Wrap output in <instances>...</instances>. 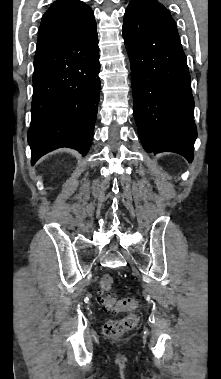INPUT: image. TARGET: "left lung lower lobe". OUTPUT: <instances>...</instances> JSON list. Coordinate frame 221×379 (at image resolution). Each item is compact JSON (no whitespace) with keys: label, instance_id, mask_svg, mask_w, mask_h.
I'll return each instance as SVG.
<instances>
[{"label":"left lung lower lobe","instance_id":"left-lung-lower-lobe-1","mask_svg":"<svg viewBox=\"0 0 221 379\" xmlns=\"http://www.w3.org/2000/svg\"><path fill=\"white\" fill-rule=\"evenodd\" d=\"M132 60L134 117L147 152L193 160L197 130L186 56L172 17L132 1L123 21Z\"/></svg>","mask_w":221,"mask_h":379}]
</instances>
